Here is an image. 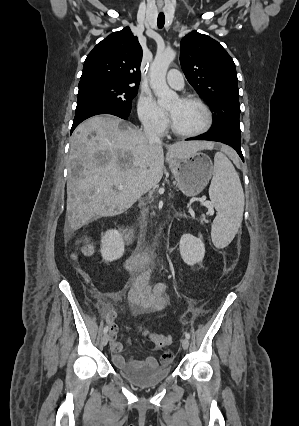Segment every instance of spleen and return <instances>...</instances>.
<instances>
[{"instance_id":"spleen-1","label":"spleen","mask_w":299,"mask_h":426,"mask_svg":"<svg viewBox=\"0 0 299 426\" xmlns=\"http://www.w3.org/2000/svg\"><path fill=\"white\" fill-rule=\"evenodd\" d=\"M209 196L217 211L212 224V241L217 248H224L233 240L241 225L244 193L238 173L222 152L215 154Z\"/></svg>"}]
</instances>
